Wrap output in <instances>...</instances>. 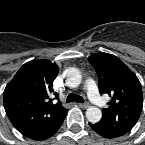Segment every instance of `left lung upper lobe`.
<instances>
[{
    "label": "left lung upper lobe",
    "mask_w": 145,
    "mask_h": 145,
    "mask_svg": "<svg viewBox=\"0 0 145 145\" xmlns=\"http://www.w3.org/2000/svg\"><path fill=\"white\" fill-rule=\"evenodd\" d=\"M98 75L100 93L111 97L103 109L100 127L122 136L137 123L143 106L141 84L137 76L116 56L96 53L88 58Z\"/></svg>",
    "instance_id": "left-lung-upper-lobe-1"
}]
</instances>
